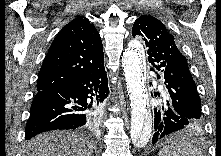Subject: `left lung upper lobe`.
<instances>
[{"mask_svg": "<svg viewBox=\"0 0 221 156\" xmlns=\"http://www.w3.org/2000/svg\"><path fill=\"white\" fill-rule=\"evenodd\" d=\"M132 35L142 36L148 47V61L158 71L175 108L201 122V102L186 58L180 53L165 25L151 15L136 19ZM153 70V69H151Z\"/></svg>", "mask_w": 221, "mask_h": 156, "instance_id": "1", "label": "left lung upper lobe"}]
</instances>
